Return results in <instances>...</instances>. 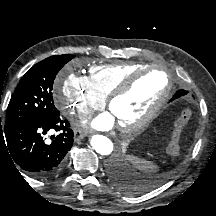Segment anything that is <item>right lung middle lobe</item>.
<instances>
[{
	"instance_id": "obj_1",
	"label": "right lung middle lobe",
	"mask_w": 216,
	"mask_h": 216,
	"mask_svg": "<svg viewBox=\"0 0 216 216\" xmlns=\"http://www.w3.org/2000/svg\"><path fill=\"white\" fill-rule=\"evenodd\" d=\"M72 58L73 55L50 56L25 73L9 102L5 126L59 115L52 97L53 82Z\"/></svg>"
}]
</instances>
